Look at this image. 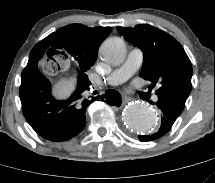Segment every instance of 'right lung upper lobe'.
I'll list each match as a JSON object with an SVG mask.
<instances>
[{
    "mask_svg": "<svg viewBox=\"0 0 215 183\" xmlns=\"http://www.w3.org/2000/svg\"><path fill=\"white\" fill-rule=\"evenodd\" d=\"M110 32V27L88 28L81 24H71L50 34L52 40L46 37L37 43L31 52L41 57L45 52L63 53V48L72 44L81 47L88 57L96 60L98 48Z\"/></svg>",
    "mask_w": 215,
    "mask_h": 183,
    "instance_id": "1",
    "label": "right lung upper lobe"
}]
</instances>
